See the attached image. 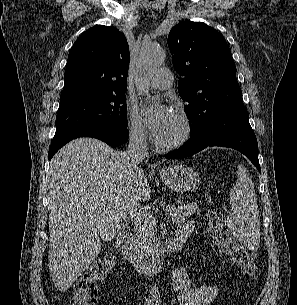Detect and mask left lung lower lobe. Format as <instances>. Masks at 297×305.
<instances>
[{"label":"left lung lower lobe","instance_id":"obj_1","mask_svg":"<svg viewBox=\"0 0 297 305\" xmlns=\"http://www.w3.org/2000/svg\"><path fill=\"white\" fill-rule=\"evenodd\" d=\"M212 146L229 147L240 151L261 173L257 139L243 104L228 107L223 113L211 117L196 133H191V138L180 149L168 153L166 158L188 157Z\"/></svg>","mask_w":297,"mask_h":305}]
</instances>
